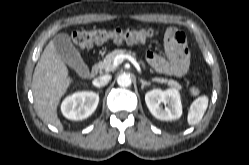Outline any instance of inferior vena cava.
Segmentation results:
<instances>
[{"mask_svg":"<svg viewBox=\"0 0 249 165\" xmlns=\"http://www.w3.org/2000/svg\"><path fill=\"white\" fill-rule=\"evenodd\" d=\"M111 78H112V76L109 75V74L99 76L98 78L94 79L93 85L96 86V87L105 86V85H107L109 83Z\"/></svg>","mask_w":249,"mask_h":165,"instance_id":"1","label":"inferior vena cava"}]
</instances>
